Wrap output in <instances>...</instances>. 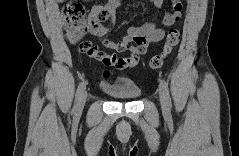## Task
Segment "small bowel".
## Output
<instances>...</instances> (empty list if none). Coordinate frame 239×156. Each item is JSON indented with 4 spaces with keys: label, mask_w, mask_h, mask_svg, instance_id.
<instances>
[{
    "label": "small bowel",
    "mask_w": 239,
    "mask_h": 156,
    "mask_svg": "<svg viewBox=\"0 0 239 156\" xmlns=\"http://www.w3.org/2000/svg\"><path fill=\"white\" fill-rule=\"evenodd\" d=\"M156 7H161L163 0H153ZM120 0H108L103 4L96 5L90 12L92 22V33L98 36H105L108 29L100 25L98 15L103 13L104 20L111 24L115 23L116 10L120 6ZM182 13V3L177 0L171 1V10L167 12L162 19L163 27H156L153 23H144L140 26H130L127 29L126 36L118 42H113L107 38L103 39V45L115 52H128L124 57L116 58L112 53H104L97 50L88 55L100 59L105 65H114L120 70H125L137 64L139 57L146 53L150 44L161 41L165 36V27L172 26L179 20Z\"/></svg>",
    "instance_id": "obj_1"
}]
</instances>
